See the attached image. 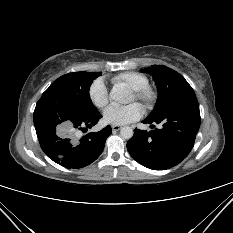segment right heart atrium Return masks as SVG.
I'll use <instances>...</instances> for the list:
<instances>
[{"label":"right heart atrium","instance_id":"d8ad5b80","mask_svg":"<svg viewBox=\"0 0 233 233\" xmlns=\"http://www.w3.org/2000/svg\"><path fill=\"white\" fill-rule=\"evenodd\" d=\"M89 99L98 108H104L108 103V90L101 80H95L88 91Z\"/></svg>","mask_w":233,"mask_h":233}]
</instances>
